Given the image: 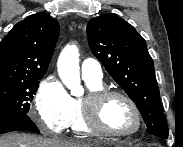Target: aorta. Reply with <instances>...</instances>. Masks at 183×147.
Returning a JSON list of instances; mask_svg holds the SVG:
<instances>
[{"label":"aorta","mask_w":183,"mask_h":147,"mask_svg":"<svg viewBox=\"0 0 183 147\" xmlns=\"http://www.w3.org/2000/svg\"><path fill=\"white\" fill-rule=\"evenodd\" d=\"M58 74L63 84L73 96H81L84 92L81 86L79 71V51L76 45H67L61 52L58 63Z\"/></svg>","instance_id":"762f6f07"}]
</instances>
